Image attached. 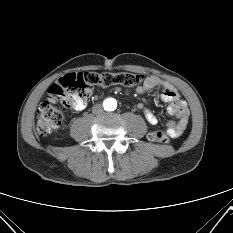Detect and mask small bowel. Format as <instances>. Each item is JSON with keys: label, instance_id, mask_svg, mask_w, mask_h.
Listing matches in <instances>:
<instances>
[{"label": "small bowel", "instance_id": "small-bowel-1", "mask_svg": "<svg viewBox=\"0 0 233 233\" xmlns=\"http://www.w3.org/2000/svg\"><path fill=\"white\" fill-rule=\"evenodd\" d=\"M155 88L161 89V98L168 103L167 111L174 117V119H170L166 122V131L169 136L176 138L180 136L189 125L190 114L187 104L174 86L168 81L154 75L148 76L136 91L138 94H145ZM87 104V101H80L74 106V109L76 111H82L87 107ZM137 108L143 111L144 117L150 125H156L158 123L157 116L147 109L143 103H138Z\"/></svg>", "mask_w": 233, "mask_h": 233}]
</instances>
